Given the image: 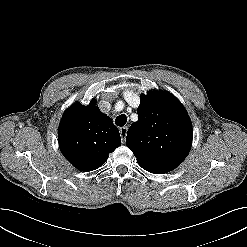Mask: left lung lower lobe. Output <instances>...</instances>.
Here are the masks:
<instances>
[{"label":"left lung lower lobe","instance_id":"0a47b994","mask_svg":"<svg viewBox=\"0 0 247 247\" xmlns=\"http://www.w3.org/2000/svg\"><path fill=\"white\" fill-rule=\"evenodd\" d=\"M148 172L154 173V174H161V173H166V172H162V171H158V170H149V169H145Z\"/></svg>","mask_w":247,"mask_h":247}]
</instances>
